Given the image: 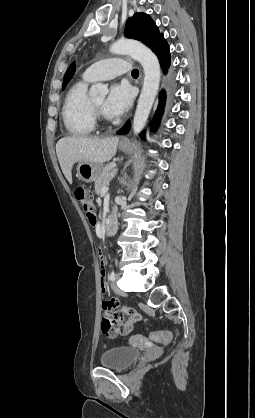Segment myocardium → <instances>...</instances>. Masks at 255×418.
I'll return each mask as SVG.
<instances>
[{
  "mask_svg": "<svg viewBox=\"0 0 255 418\" xmlns=\"http://www.w3.org/2000/svg\"><path fill=\"white\" fill-rule=\"evenodd\" d=\"M91 107H92V112H93V116H94L95 121L103 122L104 117H103V114L101 112V109L99 107H97L93 103V101H91Z\"/></svg>",
  "mask_w": 255,
  "mask_h": 418,
  "instance_id": "f54148a6",
  "label": "myocardium"
}]
</instances>
